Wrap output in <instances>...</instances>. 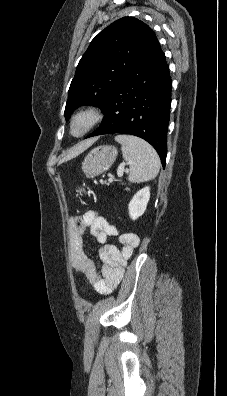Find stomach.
I'll return each mask as SVG.
<instances>
[{
  "label": "stomach",
  "mask_w": 227,
  "mask_h": 396,
  "mask_svg": "<svg viewBox=\"0 0 227 396\" xmlns=\"http://www.w3.org/2000/svg\"><path fill=\"white\" fill-rule=\"evenodd\" d=\"M118 152L112 146H99L91 150L82 163L87 177H95L107 171L116 160Z\"/></svg>",
  "instance_id": "stomach-1"
}]
</instances>
